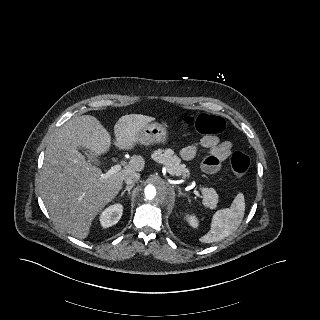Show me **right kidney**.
Here are the masks:
<instances>
[{"label":"right kidney","instance_id":"ca27d5eb","mask_svg":"<svg viewBox=\"0 0 320 320\" xmlns=\"http://www.w3.org/2000/svg\"><path fill=\"white\" fill-rule=\"evenodd\" d=\"M123 206L119 203L107 207L100 215L99 220L104 228L115 225L121 218Z\"/></svg>","mask_w":320,"mask_h":320}]
</instances>
